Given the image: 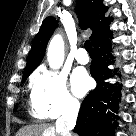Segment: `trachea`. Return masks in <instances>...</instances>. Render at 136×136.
<instances>
[{
  "instance_id": "trachea-1",
  "label": "trachea",
  "mask_w": 136,
  "mask_h": 136,
  "mask_svg": "<svg viewBox=\"0 0 136 136\" xmlns=\"http://www.w3.org/2000/svg\"><path fill=\"white\" fill-rule=\"evenodd\" d=\"M84 47H85L86 51L89 53V55H93V48H92L91 42L89 40H87L85 42Z\"/></svg>"
}]
</instances>
